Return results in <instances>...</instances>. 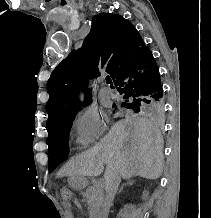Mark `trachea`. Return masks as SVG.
<instances>
[{"label": "trachea", "mask_w": 211, "mask_h": 218, "mask_svg": "<svg viewBox=\"0 0 211 218\" xmlns=\"http://www.w3.org/2000/svg\"><path fill=\"white\" fill-rule=\"evenodd\" d=\"M106 83H112L111 78L110 77H106Z\"/></svg>", "instance_id": "1"}]
</instances>
